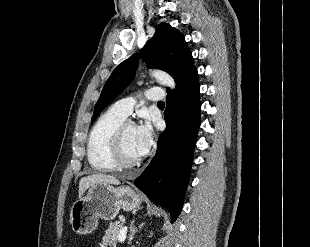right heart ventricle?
Masks as SVG:
<instances>
[{"label": "right heart ventricle", "mask_w": 310, "mask_h": 247, "mask_svg": "<svg viewBox=\"0 0 310 247\" xmlns=\"http://www.w3.org/2000/svg\"><path fill=\"white\" fill-rule=\"evenodd\" d=\"M125 119V116L111 107L93 125L88 138L87 159L94 170L111 172L116 168L111 158L112 138Z\"/></svg>", "instance_id": "1"}]
</instances>
